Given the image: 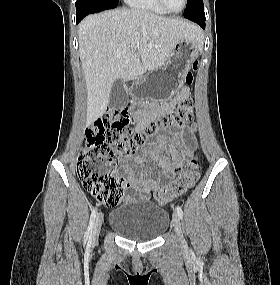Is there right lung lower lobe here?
<instances>
[{
  "label": "right lung lower lobe",
  "mask_w": 280,
  "mask_h": 285,
  "mask_svg": "<svg viewBox=\"0 0 280 285\" xmlns=\"http://www.w3.org/2000/svg\"><path fill=\"white\" fill-rule=\"evenodd\" d=\"M76 17H77V23H79L84 18V16H76Z\"/></svg>",
  "instance_id": "98d812e1"
}]
</instances>
